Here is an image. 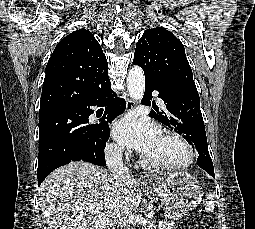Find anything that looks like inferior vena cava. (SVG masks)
Masks as SVG:
<instances>
[{"instance_id": "obj_1", "label": "inferior vena cava", "mask_w": 255, "mask_h": 229, "mask_svg": "<svg viewBox=\"0 0 255 229\" xmlns=\"http://www.w3.org/2000/svg\"><path fill=\"white\" fill-rule=\"evenodd\" d=\"M123 148L119 146L112 147L106 151V163L116 180H129L132 178L131 170L123 164ZM119 229H135L134 214L131 211H125L118 220Z\"/></svg>"}]
</instances>
